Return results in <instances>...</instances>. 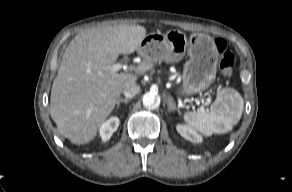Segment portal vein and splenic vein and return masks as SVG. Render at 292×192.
<instances>
[{
    "label": "portal vein and splenic vein",
    "instance_id": "obj_1",
    "mask_svg": "<svg viewBox=\"0 0 292 192\" xmlns=\"http://www.w3.org/2000/svg\"><path fill=\"white\" fill-rule=\"evenodd\" d=\"M122 68H123V65L120 63H115L111 66V70L114 72H118Z\"/></svg>",
    "mask_w": 292,
    "mask_h": 192
}]
</instances>
